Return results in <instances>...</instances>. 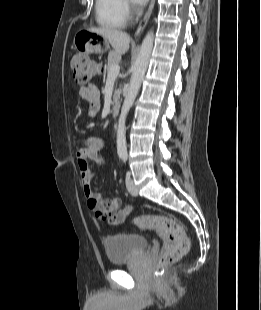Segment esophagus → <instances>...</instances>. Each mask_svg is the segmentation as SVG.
<instances>
[{
    "label": "esophagus",
    "instance_id": "1",
    "mask_svg": "<svg viewBox=\"0 0 261 310\" xmlns=\"http://www.w3.org/2000/svg\"><path fill=\"white\" fill-rule=\"evenodd\" d=\"M154 4H155V0H151L150 2V5L148 7V10L146 11L143 19L140 21L137 29H136V32H135V36L138 37L141 35V33L143 32L151 14H152V11H153V8H154Z\"/></svg>",
    "mask_w": 261,
    "mask_h": 310
}]
</instances>
